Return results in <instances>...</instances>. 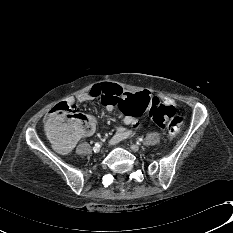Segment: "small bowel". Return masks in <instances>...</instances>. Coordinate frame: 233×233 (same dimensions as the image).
<instances>
[{
    "instance_id": "obj_1",
    "label": "small bowel",
    "mask_w": 233,
    "mask_h": 233,
    "mask_svg": "<svg viewBox=\"0 0 233 233\" xmlns=\"http://www.w3.org/2000/svg\"><path fill=\"white\" fill-rule=\"evenodd\" d=\"M113 83V82H111ZM116 84L117 86H120L119 84L117 83H114ZM96 85V84H95ZM94 85V86H95ZM93 86V87H94ZM93 87L88 91V92H85V93H81L77 96V100L80 101V102H89V101H93L95 100L92 96V89ZM159 100L164 104V105H174L175 106V101L170 98V97H167V96H160ZM64 104H67L71 107H75V101L73 99H69L66 103ZM102 105L105 107L106 110L108 111H112L114 109L113 106H111L110 104H105V103H102ZM144 111H142L140 114H142ZM139 114V115H140ZM138 116V115H137ZM137 116H129L127 114H121V118H122V121L123 123L127 126V127H118L113 138H112V143L116 144L124 139H127L129 137H131L136 129L138 128L139 126V122H138V119H137ZM75 142H71V143H67V144H63L62 142L60 141H55V145H56V148L61 152V153H66L68 151H70L73 146H74Z\"/></svg>"
}]
</instances>
